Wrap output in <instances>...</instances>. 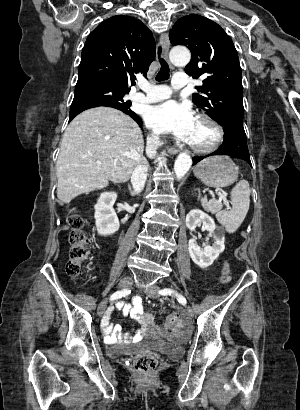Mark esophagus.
I'll return each instance as SVG.
<instances>
[{"mask_svg": "<svg viewBox=\"0 0 300 410\" xmlns=\"http://www.w3.org/2000/svg\"><path fill=\"white\" fill-rule=\"evenodd\" d=\"M160 43L162 45L163 48V55L165 57V59H168V51L170 48V41H169V37L167 33H163L160 36ZM168 152L170 154H177L179 152V150L177 148H169Z\"/></svg>", "mask_w": 300, "mask_h": 410, "instance_id": "1", "label": "esophagus"}]
</instances>
